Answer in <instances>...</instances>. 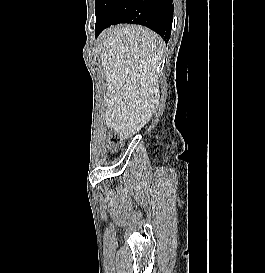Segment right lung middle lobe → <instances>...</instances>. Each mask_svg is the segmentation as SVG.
<instances>
[{
    "label": "right lung middle lobe",
    "mask_w": 265,
    "mask_h": 273,
    "mask_svg": "<svg viewBox=\"0 0 265 273\" xmlns=\"http://www.w3.org/2000/svg\"><path fill=\"white\" fill-rule=\"evenodd\" d=\"M113 0H95L96 26L104 19Z\"/></svg>",
    "instance_id": "obj_1"
}]
</instances>
